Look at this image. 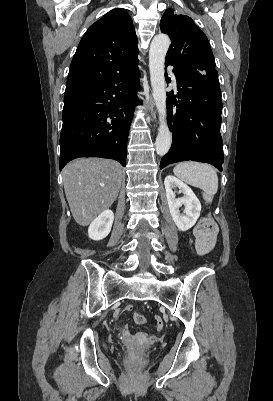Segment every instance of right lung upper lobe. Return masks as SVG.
<instances>
[{
	"mask_svg": "<svg viewBox=\"0 0 273 401\" xmlns=\"http://www.w3.org/2000/svg\"><path fill=\"white\" fill-rule=\"evenodd\" d=\"M137 54L131 17L121 8L109 11L81 39L70 65L65 96L103 82L136 62Z\"/></svg>",
	"mask_w": 273,
	"mask_h": 401,
	"instance_id": "cb5924a9",
	"label": "right lung upper lobe"
}]
</instances>
